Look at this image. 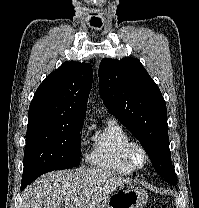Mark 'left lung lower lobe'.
<instances>
[{"instance_id":"obj_1","label":"left lung lower lobe","mask_w":199,"mask_h":208,"mask_svg":"<svg viewBox=\"0 0 199 208\" xmlns=\"http://www.w3.org/2000/svg\"><path fill=\"white\" fill-rule=\"evenodd\" d=\"M171 185H176L177 184V181L173 182V183H169Z\"/></svg>"}]
</instances>
